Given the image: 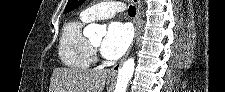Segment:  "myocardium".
Here are the masks:
<instances>
[{
	"mask_svg": "<svg viewBox=\"0 0 225 92\" xmlns=\"http://www.w3.org/2000/svg\"><path fill=\"white\" fill-rule=\"evenodd\" d=\"M91 48H92L93 52L96 53V51H97V46H95L94 44L91 43Z\"/></svg>",
	"mask_w": 225,
	"mask_h": 92,
	"instance_id": "obj_1",
	"label": "myocardium"
}]
</instances>
